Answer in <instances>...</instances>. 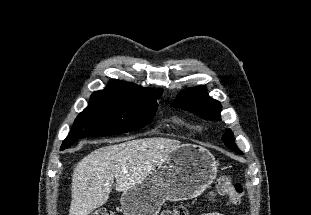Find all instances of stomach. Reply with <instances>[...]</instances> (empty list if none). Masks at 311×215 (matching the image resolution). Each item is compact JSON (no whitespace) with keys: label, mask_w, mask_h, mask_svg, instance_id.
I'll list each match as a JSON object with an SVG mask.
<instances>
[{"label":"stomach","mask_w":311,"mask_h":215,"mask_svg":"<svg viewBox=\"0 0 311 215\" xmlns=\"http://www.w3.org/2000/svg\"><path fill=\"white\" fill-rule=\"evenodd\" d=\"M218 165L206 148L182 144L142 181L123 192L122 210L125 215H157L166 200L196 198L216 178Z\"/></svg>","instance_id":"obj_1"}]
</instances>
